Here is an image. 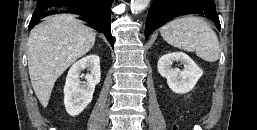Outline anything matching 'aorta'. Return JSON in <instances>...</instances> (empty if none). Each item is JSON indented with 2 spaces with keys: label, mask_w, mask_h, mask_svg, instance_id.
I'll list each match as a JSON object with an SVG mask.
<instances>
[{
  "label": "aorta",
  "mask_w": 257,
  "mask_h": 130,
  "mask_svg": "<svg viewBox=\"0 0 257 130\" xmlns=\"http://www.w3.org/2000/svg\"><path fill=\"white\" fill-rule=\"evenodd\" d=\"M149 0H131L132 13L138 14L148 5Z\"/></svg>",
  "instance_id": "762f6f07"
}]
</instances>
